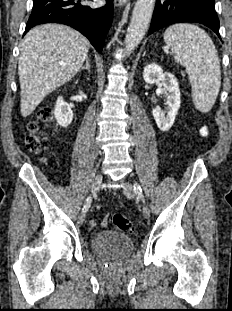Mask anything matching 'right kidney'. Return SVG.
Returning a JSON list of instances; mask_svg holds the SVG:
<instances>
[{
	"instance_id": "1",
	"label": "right kidney",
	"mask_w": 232,
	"mask_h": 311,
	"mask_svg": "<svg viewBox=\"0 0 232 311\" xmlns=\"http://www.w3.org/2000/svg\"><path fill=\"white\" fill-rule=\"evenodd\" d=\"M54 115L58 124L62 127H67L73 120V111L71 106L63 100L62 97H58Z\"/></svg>"
}]
</instances>
